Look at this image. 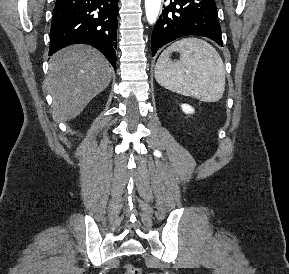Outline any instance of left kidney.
Listing matches in <instances>:
<instances>
[{
  "instance_id": "obj_1",
  "label": "left kidney",
  "mask_w": 289,
  "mask_h": 274,
  "mask_svg": "<svg viewBox=\"0 0 289 274\" xmlns=\"http://www.w3.org/2000/svg\"><path fill=\"white\" fill-rule=\"evenodd\" d=\"M181 107L183 112H185L186 114H192L194 112V109L188 104H182Z\"/></svg>"
}]
</instances>
